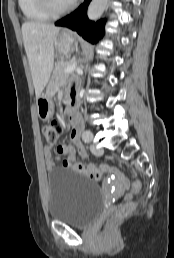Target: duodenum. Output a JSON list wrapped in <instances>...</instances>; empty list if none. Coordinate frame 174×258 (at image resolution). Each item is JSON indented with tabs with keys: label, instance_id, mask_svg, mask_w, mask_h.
Listing matches in <instances>:
<instances>
[{
	"label": "duodenum",
	"instance_id": "1",
	"mask_svg": "<svg viewBox=\"0 0 174 258\" xmlns=\"http://www.w3.org/2000/svg\"><path fill=\"white\" fill-rule=\"evenodd\" d=\"M77 104L78 101L75 94L70 95L66 102V113L68 116L72 117L74 115Z\"/></svg>",
	"mask_w": 174,
	"mask_h": 258
}]
</instances>
